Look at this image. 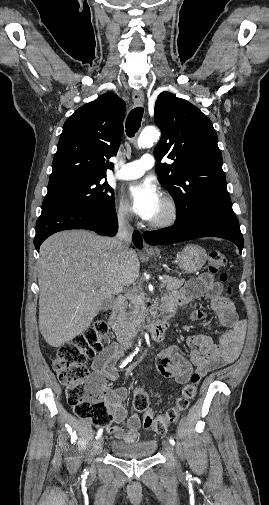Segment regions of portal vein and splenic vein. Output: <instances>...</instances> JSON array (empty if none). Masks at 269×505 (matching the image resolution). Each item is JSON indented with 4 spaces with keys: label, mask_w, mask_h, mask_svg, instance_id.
Returning a JSON list of instances; mask_svg holds the SVG:
<instances>
[{
    "label": "portal vein and splenic vein",
    "mask_w": 269,
    "mask_h": 505,
    "mask_svg": "<svg viewBox=\"0 0 269 505\" xmlns=\"http://www.w3.org/2000/svg\"><path fill=\"white\" fill-rule=\"evenodd\" d=\"M160 287L163 288V284H161Z\"/></svg>",
    "instance_id": "18ae733b"
}]
</instances>
